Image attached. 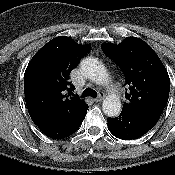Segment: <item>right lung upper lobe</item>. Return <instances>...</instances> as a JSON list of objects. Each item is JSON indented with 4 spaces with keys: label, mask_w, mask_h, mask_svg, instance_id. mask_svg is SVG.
I'll return each instance as SVG.
<instances>
[{
    "label": "right lung upper lobe",
    "mask_w": 175,
    "mask_h": 175,
    "mask_svg": "<svg viewBox=\"0 0 175 175\" xmlns=\"http://www.w3.org/2000/svg\"><path fill=\"white\" fill-rule=\"evenodd\" d=\"M91 49L66 36L46 43L31 59L24 74L25 101L35 124L57 115L76 116L88 105L73 93L71 71Z\"/></svg>",
    "instance_id": "obj_1"
}]
</instances>
